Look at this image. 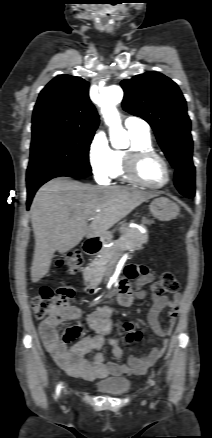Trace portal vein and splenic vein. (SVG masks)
Instances as JSON below:
<instances>
[{"label": "portal vein and splenic vein", "mask_w": 212, "mask_h": 438, "mask_svg": "<svg viewBox=\"0 0 212 438\" xmlns=\"http://www.w3.org/2000/svg\"><path fill=\"white\" fill-rule=\"evenodd\" d=\"M89 220H94V217H90Z\"/></svg>", "instance_id": "portal-vein-and-splenic-vein-1"}]
</instances>
